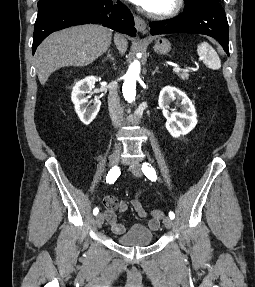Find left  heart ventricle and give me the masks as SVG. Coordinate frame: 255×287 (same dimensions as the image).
I'll use <instances>...</instances> for the list:
<instances>
[{
    "label": "left heart ventricle",
    "mask_w": 255,
    "mask_h": 287,
    "mask_svg": "<svg viewBox=\"0 0 255 287\" xmlns=\"http://www.w3.org/2000/svg\"><path fill=\"white\" fill-rule=\"evenodd\" d=\"M149 33H163V32H149ZM149 39H160V38H149ZM137 48H168V47H137Z\"/></svg>",
    "instance_id": "left-heart-ventricle-1"
}]
</instances>
